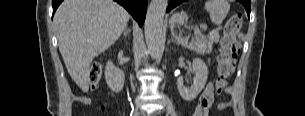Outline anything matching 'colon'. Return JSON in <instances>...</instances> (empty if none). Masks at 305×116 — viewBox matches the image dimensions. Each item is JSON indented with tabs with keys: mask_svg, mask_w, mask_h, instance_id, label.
<instances>
[{
	"mask_svg": "<svg viewBox=\"0 0 305 116\" xmlns=\"http://www.w3.org/2000/svg\"><path fill=\"white\" fill-rule=\"evenodd\" d=\"M242 25L240 14L232 15L226 22L223 30L220 54L217 58V78L215 89L221 94L227 86L228 79L233 74L239 53L238 32ZM103 68L101 64H93L89 70V84L95 90L101 80Z\"/></svg>",
	"mask_w": 305,
	"mask_h": 116,
	"instance_id": "colon-1",
	"label": "colon"
}]
</instances>
